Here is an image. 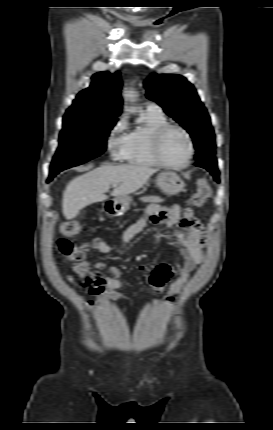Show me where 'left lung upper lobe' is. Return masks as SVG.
<instances>
[{
	"instance_id": "1",
	"label": "left lung upper lobe",
	"mask_w": 273,
	"mask_h": 430,
	"mask_svg": "<svg viewBox=\"0 0 273 430\" xmlns=\"http://www.w3.org/2000/svg\"><path fill=\"white\" fill-rule=\"evenodd\" d=\"M146 96L180 123L193 138L196 160L215 156V135L210 117L197 92L186 78L179 75L152 74L146 81Z\"/></svg>"
}]
</instances>
